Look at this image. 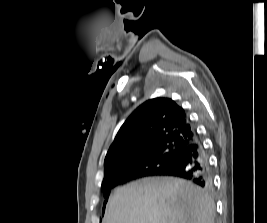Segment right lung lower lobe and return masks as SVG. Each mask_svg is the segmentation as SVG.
Wrapping results in <instances>:
<instances>
[{
    "mask_svg": "<svg viewBox=\"0 0 267 223\" xmlns=\"http://www.w3.org/2000/svg\"><path fill=\"white\" fill-rule=\"evenodd\" d=\"M196 135V133H195ZM173 176L189 180L201 187L211 186L210 169L208 158L197 135L195 141L190 144L168 168L156 174H149L140 171H131L124 174L109 177L102 183L104 193L110 189L123 184L129 180L146 176Z\"/></svg>",
    "mask_w": 267,
    "mask_h": 223,
    "instance_id": "1",
    "label": "right lung lower lobe"
}]
</instances>
